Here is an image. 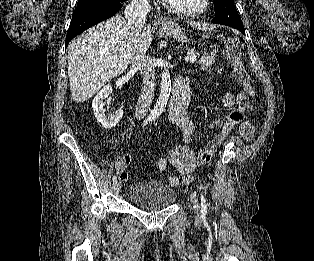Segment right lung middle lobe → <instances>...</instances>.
<instances>
[{
    "label": "right lung middle lobe",
    "mask_w": 314,
    "mask_h": 261,
    "mask_svg": "<svg viewBox=\"0 0 314 261\" xmlns=\"http://www.w3.org/2000/svg\"><path fill=\"white\" fill-rule=\"evenodd\" d=\"M104 1L109 0H78L76 11Z\"/></svg>",
    "instance_id": "dd1d6c3e"
}]
</instances>
